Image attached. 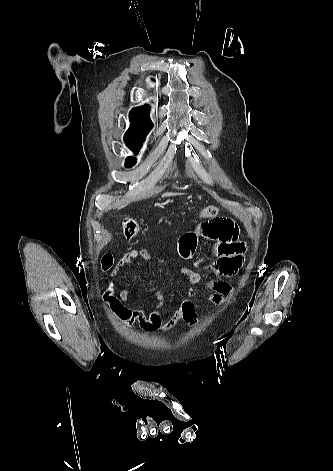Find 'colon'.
Masks as SVG:
<instances>
[{"instance_id":"5ec220e1","label":"colon","mask_w":333,"mask_h":471,"mask_svg":"<svg viewBox=\"0 0 333 471\" xmlns=\"http://www.w3.org/2000/svg\"><path fill=\"white\" fill-rule=\"evenodd\" d=\"M201 215L205 217H214L219 215V209L216 206H207L201 210ZM123 235L126 239L131 240L139 233L138 223L134 219H124L122 222ZM104 269H108L112 265V257L107 254L102 259Z\"/></svg>"}]
</instances>
